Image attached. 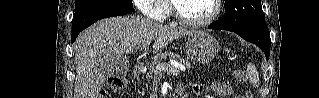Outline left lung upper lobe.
Listing matches in <instances>:
<instances>
[{"instance_id":"obj_1","label":"left lung upper lobe","mask_w":319,"mask_h":98,"mask_svg":"<svg viewBox=\"0 0 319 98\" xmlns=\"http://www.w3.org/2000/svg\"><path fill=\"white\" fill-rule=\"evenodd\" d=\"M212 24L233 32L269 34L260 0H225V14Z\"/></svg>"}]
</instances>
